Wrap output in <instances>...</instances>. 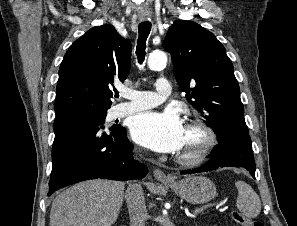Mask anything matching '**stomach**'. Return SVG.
I'll list each match as a JSON object with an SVG mask.
<instances>
[{"mask_svg":"<svg viewBox=\"0 0 297 226\" xmlns=\"http://www.w3.org/2000/svg\"><path fill=\"white\" fill-rule=\"evenodd\" d=\"M166 185L179 197L192 204L206 203L217 195L214 183L204 176L192 175Z\"/></svg>","mask_w":297,"mask_h":226,"instance_id":"1","label":"stomach"}]
</instances>
